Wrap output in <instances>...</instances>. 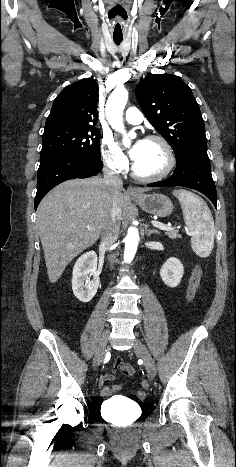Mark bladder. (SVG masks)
<instances>
[{
    "label": "bladder",
    "mask_w": 236,
    "mask_h": 467,
    "mask_svg": "<svg viewBox=\"0 0 236 467\" xmlns=\"http://www.w3.org/2000/svg\"><path fill=\"white\" fill-rule=\"evenodd\" d=\"M116 409H121L123 415L113 421V424L118 427H128L132 424L131 413L134 411L137 416L142 412L141 405L135 402H124L121 399L112 398L104 401L102 411L111 416Z\"/></svg>",
    "instance_id": "31cf9c89"
}]
</instances>
